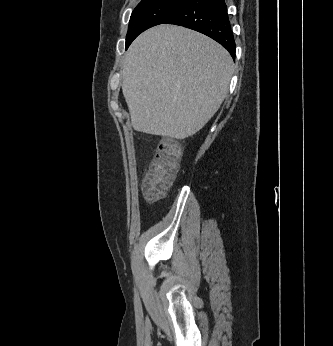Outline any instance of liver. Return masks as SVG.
Listing matches in <instances>:
<instances>
[{
  "label": "liver",
  "instance_id": "6515ba94",
  "mask_svg": "<svg viewBox=\"0 0 333 346\" xmlns=\"http://www.w3.org/2000/svg\"><path fill=\"white\" fill-rule=\"evenodd\" d=\"M233 60L196 31L159 25L139 35L122 68V91L132 127L185 139L198 132L227 96Z\"/></svg>",
  "mask_w": 333,
  "mask_h": 346
}]
</instances>
